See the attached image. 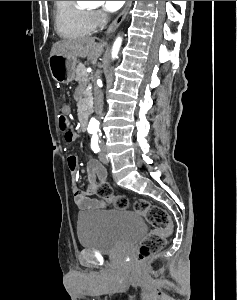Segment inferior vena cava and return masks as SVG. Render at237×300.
<instances>
[{
  "label": "inferior vena cava",
  "instance_id": "1",
  "mask_svg": "<svg viewBox=\"0 0 237 300\" xmlns=\"http://www.w3.org/2000/svg\"><path fill=\"white\" fill-rule=\"evenodd\" d=\"M105 19V23H108V17H104ZM94 105H95V113H97V115H102V111H103V93L102 91H100L99 87H95V91H94Z\"/></svg>",
  "mask_w": 237,
  "mask_h": 300
}]
</instances>
